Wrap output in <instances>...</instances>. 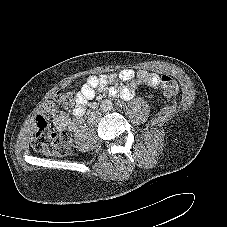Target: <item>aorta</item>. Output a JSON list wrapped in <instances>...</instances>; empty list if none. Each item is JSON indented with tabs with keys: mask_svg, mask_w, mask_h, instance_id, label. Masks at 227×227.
Returning <instances> with one entry per match:
<instances>
[{
	"mask_svg": "<svg viewBox=\"0 0 227 227\" xmlns=\"http://www.w3.org/2000/svg\"><path fill=\"white\" fill-rule=\"evenodd\" d=\"M101 108L103 111L107 112L112 109V103L109 100L102 101Z\"/></svg>",
	"mask_w": 227,
	"mask_h": 227,
	"instance_id": "762f6f07",
	"label": "aorta"
}]
</instances>
